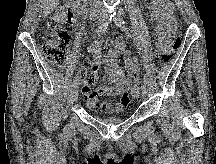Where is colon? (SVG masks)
Instances as JSON below:
<instances>
[{"instance_id":"5ec220e1","label":"colon","mask_w":216,"mask_h":164,"mask_svg":"<svg viewBox=\"0 0 216 164\" xmlns=\"http://www.w3.org/2000/svg\"><path fill=\"white\" fill-rule=\"evenodd\" d=\"M73 23L72 13L66 6H60L48 22V29L45 35V43L42 46V53L53 65L64 68L69 59L70 45L68 31ZM180 46V34L176 23L171 27L166 46L160 56L161 65L168 64L174 56L175 51ZM80 80L85 86H93L97 80V71H83L80 73ZM141 92V83L138 82L131 96L137 98Z\"/></svg>"}]
</instances>
